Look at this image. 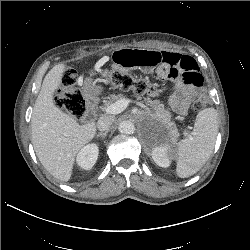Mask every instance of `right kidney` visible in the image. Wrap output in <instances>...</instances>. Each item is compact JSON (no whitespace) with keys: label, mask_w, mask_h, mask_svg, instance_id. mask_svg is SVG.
I'll use <instances>...</instances> for the list:
<instances>
[{"label":"right kidney","mask_w":250,"mask_h":250,"mask_svg":"<svg viewBox=\"0 0 250 250\" xmlns=\"http://www.w3.org/2000/svg\"><path fill=\"white\" fill-rule=\"evenodd\" d=\"M98 145L95 143L84 146L77 154L76 162L82 169L90 170L98 158Z\"/></svg>","instance_id":"right-kidney-1"}]
</instances>
